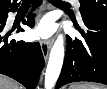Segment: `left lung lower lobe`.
I'll use <instances>...</instances> for the list:
<instances>
[{
	"instance_id": "0a47b994",
	"label": "left lung lower lobe",
	"mask_w": 107,
	"mask_h": 89,
	"mask_svg": "<svg viewBox=\"0 0 107 89\" xmlns=\"http://www.w3.org/2000/svg\"><path fill=\"white\" fill-rule=\"evenodd\" d=\"M85 29H79L84 41L68 37L61 74L56 89L78 81L107 85V16L82 14Z\"/></svg>"
}]
</instances>
